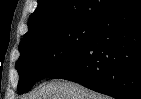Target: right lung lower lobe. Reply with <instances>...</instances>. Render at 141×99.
I'll return each instance as SVG.
<instances>
[{"label":"right lung lower lobe","instance_id":"right-lung-lower-lobe-1","mask_svg":"<svg viewBox=\"0 0 141 99\" xmlns=\"http://www.w3.org/2000/svg\"><path fill=\"white\" fill-rule=\"evenodd\" d=\"M49 78L116 99H141V0H128L102 18L89 43Z\"/></svg>","mask_w":141,"mask_h":99}]
</instances>
